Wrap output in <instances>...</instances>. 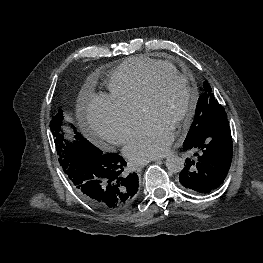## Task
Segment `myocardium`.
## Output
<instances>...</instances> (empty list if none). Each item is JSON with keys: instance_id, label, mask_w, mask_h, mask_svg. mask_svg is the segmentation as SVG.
Returning <instances> with one entry per match:
<instances>
[{"instance_id": "f54148a6", "label": "myocardium", "mask_w": 263, "mask_h": 263, "mask_svg": "<svg viewBox=\"0 0 263 263\" xmlns=\"http://www.w3.org/2000/svg\"><path fill=\"white\" fill-rule=\"evenodd\" d=\"M168 78H173V79H178L182 81L185 86L187 87V90L189 92V104L187 109L185 110L184 114L178 119L176 123L175 130L180 131L183 129L192 117L195 114L197 105H198V100H199V94L196 89V87L193 85L191 80L184 74L179 73L178 71L175 70H158L154 73L152 76L151 80L149 81L148 85L146 86L143 95L140 100V105L139 108L141 109L142 112L145 111V108L147 104L153 99L155 96L159 84Z\"/></svg>"}]
</instances>
